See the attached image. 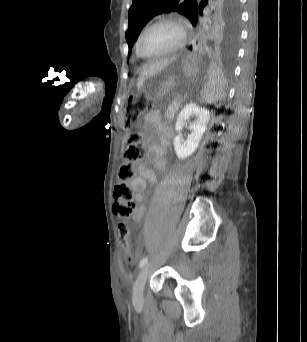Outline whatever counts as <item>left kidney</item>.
<instances>
[{
    "label": "left kidney",
    "instance_id": "1",
    "mask_svg": "<svg viewBox=\"0 0 307 342\" xmlns=\"http://www.w3.org/2000/svg\"><path fill=\"white\" fill-rule=\"evenodd\" d=\"M190 118H195V120L189 124L192 132L188 134L187 140L183 142L180 136H175L174 138V150L179 160H185V158H188V156H191L197 150L199 142L207 128L210 112L209 110H205V108L196 106V104H186L177 118L175 124L176 132L183 130L186 120H190Z\"/></svg>",
    "mask_w": 307,
    "mask_h": 342
}]
</instances>
